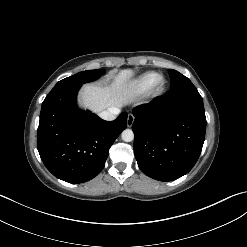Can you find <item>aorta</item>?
<instances>
[{
    "instance_id": "1",
    "label": "aorta",
    "mask_w": 247,
    "mask_h": 247,
    "mask_svg": "<svg viewBox=\"0 0 247 247\" xmlns=\"http://www.w3.org/2000/svg\"><path fill=\"white\" fill-rule=\"evenodd\" d=\"M121 138L125 142H131L134 139V133L131 129H125L121 134Z\"/></svg>"
}]
</instances>
